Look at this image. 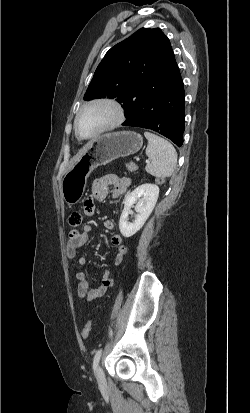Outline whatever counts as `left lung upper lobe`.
<instances>
[{
    "instance_id": "1",
    "label": "left lung upper lobe",
    "mask_w": 250,
    "mask_h": 413,
    "mask_svg": "<svg viewBox=\"0 0 250 413\" xmlns=\"http://www.w3.org/2000/svg\"><path fill=\"white\" fill-rule=\"evenodd\" d=\"M171 53L169 39L159 28L139 29L106 53L84 100L116 97L124 108L145 80L163 75Z\"/></svg>"
}]
</instances>
